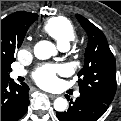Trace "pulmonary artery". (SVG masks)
Listing matches in <instances>:
<instances>
[{
    "label": "pulmonary artery",
    "instance_id": "pulmonary-artery-1",
    "mask_svg": "<svg viewBox=\"0 0 121 121\" xmlns=\"http://www.w3.org/2000/svg\"><path fill=\"white\" fill-rule=\"evenodd\" d=\"M67 49L68 47H61L62 51H66ZM24 75H26V71L23 69H15L10 73L11 78H14V79ZM79 96H80V93L76 92L75 97H79Z\"/></svg>",
    "mask_w": 121,
    "mask_h": 121
}]
</instances>
